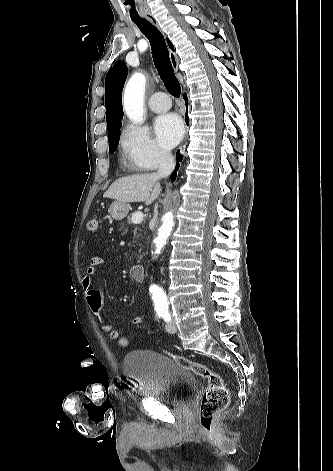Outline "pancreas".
Masks as SVG:
<instances>
[{"label": "pancreas", "mask_w": 333, "mask_h": 471, "mask_svg": "<svg viewBox=\"0 0 333 471\" xmlns=\"http://www.w3.org/2000/svg\"><path fill=\"white\" fill-rule=\"evenodd\" d=\"M132 224V221H131V218L128 217L127 218V223L123 225V227L121 228V230L123 231L122 234H126L128 232V229H129V225ZM137 230H139L138 227H135V230L133 231L134 235L136 236L137 235Z\"/></svg>", "instance_id": "cf45deb5"}]
</instances>
